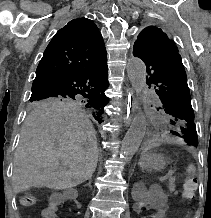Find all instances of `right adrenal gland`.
<instances>
[{"mask_svg":"<svg viewBox=\"0 0 211 218\" xmlns=\"http://www.w3.org/2000/svg\"><path fill=\"white\" fill-rule=\"evenodd\" d=\"M91 182H92V178H89V182L88 184H86V186H89V188H91Z\"/></svg>","mask_w":211,"mask_h":218,"instance_id":"1","label":"right adrenal gland"}]
</instances>
